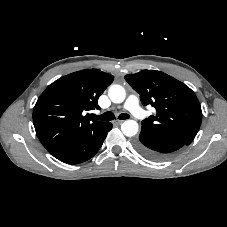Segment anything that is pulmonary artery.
Listing matches in <instances>:
<instances>
[{
    "instance_id": "obj_1",
    "label": "pulmonary artery",
    "mask_w": 227,
    "mask_h": 227,
    "mask_svg": "<svg viewBox=\"0 0 227 227\" xmlns=\"http://www.w3.org/2000/svg\"><path fill=\"white\" fill-rule=\"evenodd\" d=\"M124 109L130 111L136 118H145V112L139 106V100L135 95H129L124 103Z\"/></svg>"
}]
</instances>
